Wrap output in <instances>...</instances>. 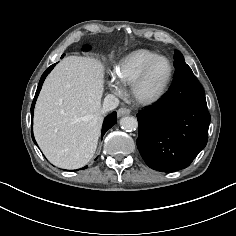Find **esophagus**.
I'll use <instances>...</instances> for the list:
<instances>
[{
	"instance_id": "1",
	"label": "esophagus",
	"mask_w": 236,
	"mask_h": 236,
	"mask_svg": "<svg viewBox=\"0 0 236 236\" xmlns=\"http://www.w3.org/2000/svg\"><path fill=\"white\" fill-rule=\"evenodd\" d=\"M130 113V110L128 108H125V107H121L117 110V116L118 117H121V116H124V115H127Z\"/></svg>"
}]
</instances>
